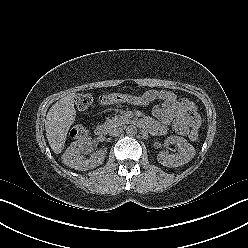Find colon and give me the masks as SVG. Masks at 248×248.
I'll return each mask as SVG.
<instances>
[{
	"mask_svg": "<svg viewBox=\"0 0 248 248\" xmlns=\"http://www.w3.org/2000/svg\"><path fill=\"white\" fill-rule=\"evenodd\" d=\"M129 95L113 93L108 95H103L99 98L101 104H111V103H121L126 102ZM93 101L91 94L85 93L80 94L76 98V106L79 110H86ZM88 130L83 125H75L70 132L71 137L73 138H82L87 134ZM198 138V128L191 129L189 133V139L195 141Z\"/></svg>",
	"mask_w": 248,
	"mask_h": 248,
	"instance_id": "colon-1",
	"label": "colon"
}]
</instances>
